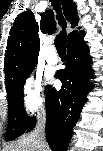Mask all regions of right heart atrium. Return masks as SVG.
Returning a JSON list of instances; mask_svg holds the SVG:
<instances>
[{
  "label": "right heart atrium",
  "instance_id": "1",
  "mask_svg": "<svg viewBox=\"0 0 103 151\" xmlns=\"http://www.w3.org/2000/svg\"><path fill=\"white\" fill-rule=\"evenodd\" d=\"M22 104L28 115L36 113L44 106L45 97L42 82L39 76H28L22 87Z\"/></svg>",
  "mask_w": 103,
  "mask_h": 151
}]
</instances>
